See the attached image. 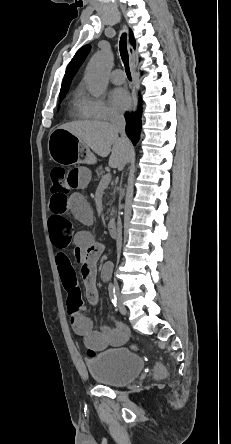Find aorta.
Listing matches in <instances>:
<instances>
[{"instance_id": "1", "label": "aorta", "mask_w": 231, "mask_h": 444, "mask_svg": "<svg viewBox=\"0 0 231 444\" xmlns=\"http://www.w3.org/2000/svg\"><path fill=\"white\" fill-rule=\"evenodd\" d=\"M112 62V54L107 51H101L93 56L88 64L85 81L87 88L95 97L102 95L107 87V72Z\"/></svg>"}]
</instances>
